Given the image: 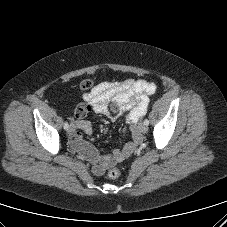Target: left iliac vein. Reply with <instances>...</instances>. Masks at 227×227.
<instances>
[{
    "instance_id": "obj_1",
    "label": "left iliac vein",
    "mask_w": 227,
    "mask_h": 227,
    "mask_svg": "<svg viewBox=\"0 0 227 227\" xmlns=\"http://www.w3.org/2000/svg\"><path fill=\"white\" fill-rule=\"evenodd\" d=\"M139 130L142 132V133H146L148 131V126L144 123H141L139 125Z\"/></svg>"
}]
</instances>
